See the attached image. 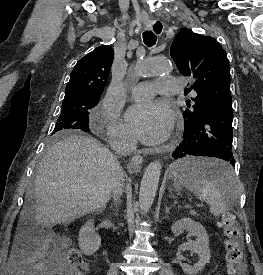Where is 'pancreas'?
I'll use <instances>...</instances> for the list:
<instances>
[{
  "instance_id": "1",
  "label": "pancreas",
  "mask_w": 263,
  "mask_h": 275,
  "mask_svg": "<svg viewBox=\"0 0 263 275\" xmlns=\"http://www.w3.org/2000/svg\"><path fill=\"white\" fill-rule=\"evenodd\" d=\"M190 213H191V215L196 216V212L195 211L192 210Z\"/></svg>"
}]
</instances>
